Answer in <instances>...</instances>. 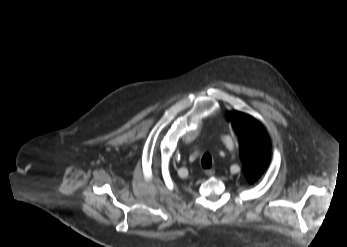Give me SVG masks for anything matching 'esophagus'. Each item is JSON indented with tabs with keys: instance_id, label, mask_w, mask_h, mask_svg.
<instances>
[{
	"instance_id": "obj_1",
	"label": "esophagus",
	"mask_w": 347,
	"mask_h": 247,
	"mask_svg": "<svg viewBox=\"0 0 347 247\" xmlns=\"http://www.w3.org/2000/svg\"><path fill=\"white\" fill-rule=\"evenodd\" d=\"M205 173L207 176H213L215 174V170L213 168L207 169Z\"/></svg>"
}]
</instances>
